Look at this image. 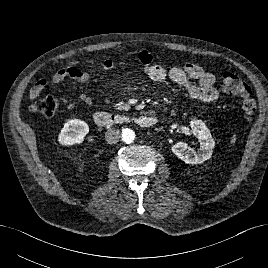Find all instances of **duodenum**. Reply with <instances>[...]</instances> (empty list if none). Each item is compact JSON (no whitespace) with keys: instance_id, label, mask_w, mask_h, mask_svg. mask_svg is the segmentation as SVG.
I'll list each match as a JSON object with an SVG mask.
<instances>
[{"instance_id":"410a0bca","label":"duodenum","mask_w":268,"mask_h":268,"mask_svg":"<svg viewBox=\"0 0 268 268\" xmlns=\"http://www.w3.org/2000/svg\"><path fill=\"white\" fill-rule=\"evenodd\" d=\"M129 122V119L119 114L99 112L95 116V123L99 126H114ZM139 127L147 128L155 124L156 119L152 115H142L132 120Z\"/></svg>"}]
</instances>
